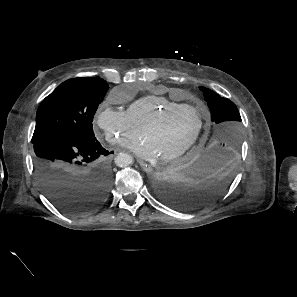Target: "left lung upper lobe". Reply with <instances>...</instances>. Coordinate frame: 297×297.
I'll return each instance as SVG.
<instances>
[{
	"mask_svg": "<svg viewBox=\"0 0 297 297\" xmlns=\"http://www.w3.org/2000/svg\"><path fill=\"white\" fill-rule=\"evenodd\" d=\"M211 111L214 129L208 145H216L228 152L237 154L241 143V116L236 105L227 98L205 87H199Z\"/></svg>",
	"mask_w": 297,
	"mask_h": 297,
	"instance_id": "left-lung-upper-lobe-1",
	"label": "left lung upper lobe"
}]
</instances>
